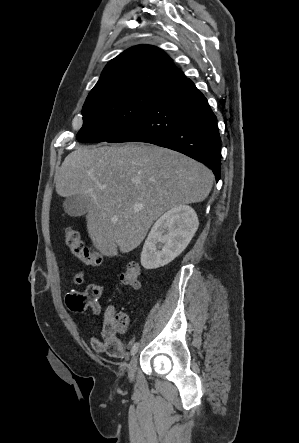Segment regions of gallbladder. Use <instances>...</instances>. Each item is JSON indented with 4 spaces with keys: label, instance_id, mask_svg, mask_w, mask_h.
I'll list each match as a JSON object with an SVG mask.
<instances>
[{
    "label": "gallbladder",
    "instance_id": "1",
    "mask_svg": "<svg viewBox=\"0 0 299 443\" xmlns=\"http://www.w3.org/2000/svg\"><path fill=\"white\" fill-rule=\"evenodd\" d=\"M91 207V198L84 194H74L67 197L63 203L64 211L71 217L86 214Z\"/></svg>",
    "mask_w": 299,
    "mask_h": 443
}]
</instances>
